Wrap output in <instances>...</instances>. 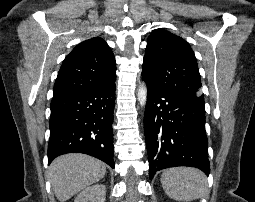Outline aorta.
Segmentation results:
<instances>
[{"label": "aorta", "instance_id": "obj_1", "mask_svg": "<svg viewBox=\"0 0 255 202\" xmlns=\"http://www.w3.org/2000/svg\"><path fill=\"white\" fill-rule=\"evenodd\" d=\"M137 98L142 107H145L147 101V86L143 82L137 89Z\"/></svg>", "mask_w": 255, "mask_h": 202}]
</instances>
